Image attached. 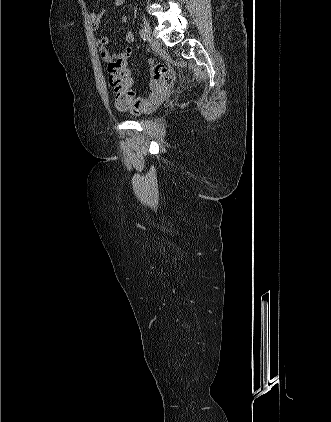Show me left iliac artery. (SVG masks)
<instances>
[{
  "label": "left iliac artery",
  "mask_w": 331,
  "mask_h": 422,
  "mask_svg": "<svg viewBox=\"0 0 331 422\" xmlns=\"http://www.w3.org/2000/svg\"><path fill=\"white\" fill-rule=\"evenodd\" d=\"M140 35H141V38L143 40H147V38H148V30H147L146 27H142L141 28Z\"/></svg>",
  "instance_id": "1"
}]
</instances>
